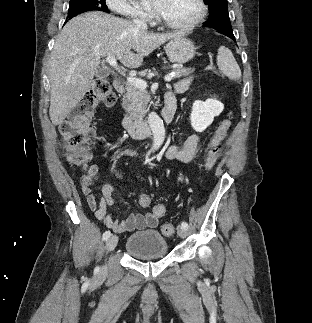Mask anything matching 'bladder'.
Listing matches in <instances>:
<instances>
[{
  "label": "bladder",
  "instance_id": "1",
  "mask_svg": "<svg viewBox=\"0 0 312 323\" xmlns=\"http://www.w3.org/2000/svg\"><path fill=\"white\" fill-rule=\"evenodd\" d=\"M125 246L129 255L142 260L164 257L168 252V241L157 230L131 234Z\"/></svg>",
  "mask_w": 312,
  "mask_h": 323
}]
</instances>
